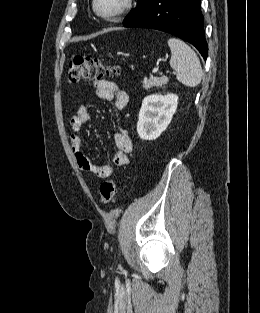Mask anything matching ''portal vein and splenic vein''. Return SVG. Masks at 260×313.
<instances>
[{
    "instance_id": "obj_1",
    "label": "portal vein and splenic vein",
    "mask_w": 260,
    "mask_h": 313,
    "mask_svg": "<svg viewBox=\"0 0 260 313\" xmlns=\"http://www.w3.org/2000/svg\"><path fill=\"white\" fill-rule=\"evenodd\" d=\"M157 71H158V69H154V70H153L154 73L157 72ZM173 74L175 75L176 73L173 72Z\"/></svg>"
}]
</instances>
